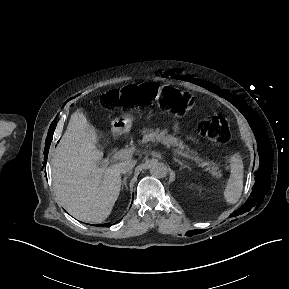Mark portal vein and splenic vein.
Returning a JSON list of instances; mask_svg holds the SVG:
<instances>
[{
	"label": "portal vein and splenic vein",
	"mask_w": 289,
	"mask_h": 289,
	"mask_svg": "<svg viewBox=\"0 0 289 289\" xmlns=\"http://www.w3.org/2000/svg\"><path fill=\"white\" fill-rule=\"evenodd\" d=\"M164 145H166L167 147L170 146V145H167V144H164ZM132 151H133L132 149H124V150H121V151L117 152L116 154H114L111 160H121V159H125V158L131 156ZM175 153H176V154H180V153H178V152H175ZM180 155L188 158V156L185 155V154H180ZM195 161H196V163L198 164V166H199L200 168H204V167H205V165H204L201 161H199V160H197V159H196ZM107 162H108V160L105 161V164H106Z\"/></svg>",
	"instance_id": "18ae733b"
}]
</instances>
